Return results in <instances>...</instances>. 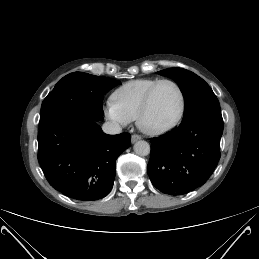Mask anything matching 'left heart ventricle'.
Listing matches in <instances>:
<instances>
[{"instance_id":"left-heart-ventricle-1","label":"left heart ventricle","mask_w":259,"mask_h":259,"mask_svg":"<svg viewBox=\"0 0 259 259\" xmlns=\"http://www.w3.org/2000/svg\"><path fill=\"white\" fill-rule=\"evenodd\" d=\"M179 107L180 97L177 89L170 83H163L154 92L144 123L150 128L165 126L176 117Z\"/></svg>"}]
</instances>
